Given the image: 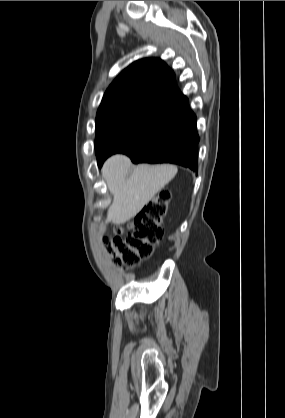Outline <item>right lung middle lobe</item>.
Here are the masks:
<instances>
[{
	"instance_id": "right-lung-middle-lobe-1",
	"label": "right lung middle lobe",
	"mask_w": 285,
	"mask_h": 418,
	"mask_svg": "<svg viewBox=\"0 0 285 418\" xmlns=\"http://www.w3.org/2000/svg\"><path fill=\"white\" fill-rule=\"evenodd\" d=\"M173 111L142 102H122L99 109L95 138L97 159L121 152L161 124Z\"/></svg>"
}]
</instances>
